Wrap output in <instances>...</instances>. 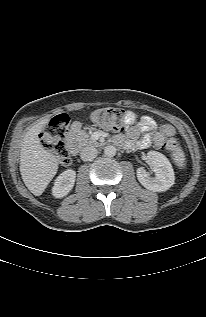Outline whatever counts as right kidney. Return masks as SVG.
I'll return each instance as SVG.
<instances>
[{
    "mask_svg": "<svg viewBox=\"0 0 206 317\" xmlns=\"http://www.w3.org/2000/svg\"><path fill=\"white\" fill-rule=\"evenodd\" d=\"M76 172L73 169L63 171L55 180L52 193L56 198L66 196L73 188Z\"/></svg>",
    "mask_w": 206,
    "mask_h": 317,
    "instance_id": "obj_1",
    "label": "right kidney"
}]
</instances>
